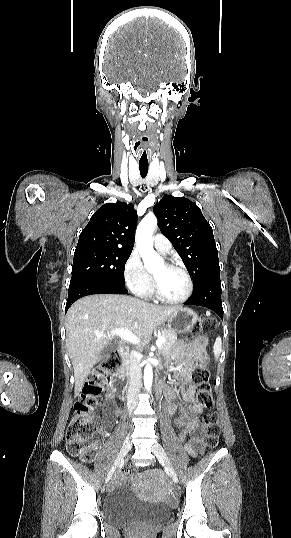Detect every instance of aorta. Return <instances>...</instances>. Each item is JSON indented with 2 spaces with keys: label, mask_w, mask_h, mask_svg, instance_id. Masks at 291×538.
<instances>
[{
  "label": "aorta",
  "mask_w": 291,
  "mask_h": 538,
  "mask_svg": "<svg viewBox=\"0 0 291 538\" xmlns=\"http://www.w3.org/2000/svg\"><path fill=\"white\" fill-rule=\"evenodd\" d=\"M156 226V216L148 214L142 219L136 232L137 249L148 271L164 265V260L154 251L152 245V235ZM152 382L153 369L151 364L147 362L144 368V385L147 391L151 390Z\"/></svg>",
  "instance_id": "1"
}]
</instances>
